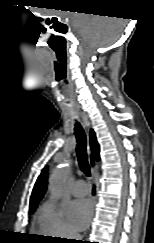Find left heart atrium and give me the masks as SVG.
Segmentation results:
<instances>
[{"mask_svg": "<svg viewBox=\"0 0 154 243\" xmlns=\"http://www.w3.org/2000/svg\"><path fill=\"white\" fill-rule=\"evenodd\" d=\"M92 204L88 199H78L69 206V219L76 230L86 228L92 216Z\"/></svg>", "mask_w": 154, "mask_h": 243, "instance_id": "39dd6f15", "label": "left heart atrium"}]
</instances>
